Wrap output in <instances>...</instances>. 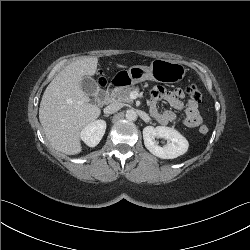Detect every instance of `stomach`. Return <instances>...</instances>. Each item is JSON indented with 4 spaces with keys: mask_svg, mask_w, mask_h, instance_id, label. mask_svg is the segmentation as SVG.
<instances>
[{
    "mask_svg": "<svg viewBox=\"0 0 250 250\" xmlns=\"http://www.w3.org/2000/svg\"><path fill=\"white\" fill-rule=\"evenodd\" d=\"M187 69L180 63L155 59L149 67L136 65L127 71H120L116 79L120 85H134L146 80H153L161 83L180 82L186 74Z\"/></svg>",
    "mask_w": 250,
    "mask_h": 250,
    "instance_id": "1",
    "label": "stomach"
}]
</instances>
